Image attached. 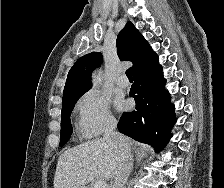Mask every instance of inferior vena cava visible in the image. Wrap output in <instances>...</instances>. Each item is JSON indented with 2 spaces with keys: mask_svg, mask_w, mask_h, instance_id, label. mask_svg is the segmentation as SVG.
<instances>
[{
  "mask_svg": "<svg viewBox=\"0 0 224 188\" xmlns=\"http://www.w3.org/2000/svg\"><path fill=\"white\" fill-rule=\"evenodd\" d=\"M116 127L117 122L115 120L110 121L105 129L104 139L119 152L118 168L112 188H125L132 168V154L128 142L116 131Z\"/></svg>",
  "mask_w": 224,
  "mask_h": 188,
  "instance_id": "obj_1",
  "label": "inferior vena cava"
}]
</instances>
